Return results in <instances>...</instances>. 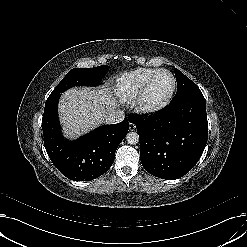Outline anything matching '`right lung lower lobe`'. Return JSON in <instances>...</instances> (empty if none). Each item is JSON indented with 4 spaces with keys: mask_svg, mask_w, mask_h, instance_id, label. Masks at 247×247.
I'll list each match as a JSON object with an SVG mask.
<instances>
[{
    "mask_svg": "<svg viewBox=\"0 0 247 247\" xmlns=\"http://www.w3.org/2000/svg\"><path fill=\"white\" fill-rule=\"evenodd\" d=\"M61 95V94H60ZM60 95L49 96L42 118L44 145L55 167L74 181L95 179L109 170L129 122L103 125L75 141L63 138L57 114Z\"/></svg>",
    "mask_w": 247,
    "mask_h": 247,
    "instance_id": "1",
    "label": "right lung lower lobe"
}]
</instances>
